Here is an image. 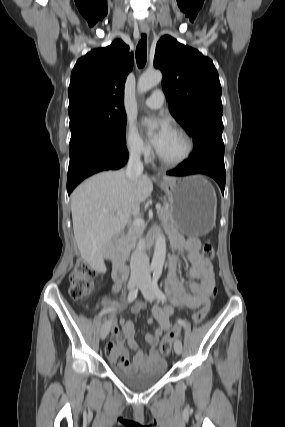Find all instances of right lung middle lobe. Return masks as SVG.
Here are the masks:
<instances>
[{"label": "right lung middle lobe", "mask_w": 285, "mask_h": 427, "mask_svg": "<svg viewBox=\"0 0 285 427\" xmlns=\"http://www.w3.org/2000/svg\"><path fill=\"white\" fill-rule=\"evenodd\" d=\"M70 117L71 155L79 146L89 141H100L111 146L126 147V112L117 110H84Z\"/></svg>", "instance_id": "obj_1"}]
</instances>
